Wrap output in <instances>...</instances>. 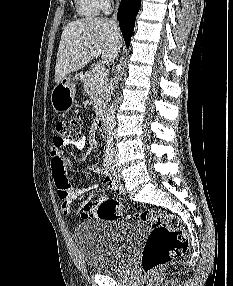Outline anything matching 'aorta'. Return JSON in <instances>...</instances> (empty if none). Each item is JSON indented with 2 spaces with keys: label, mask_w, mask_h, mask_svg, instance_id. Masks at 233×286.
<instances>
[{
  "label": "aorta",
  "mask_w": 233,
  "mask_h": 286,
  "mask_svg": "<svg viewBox=\"0 0 233 286\" xmlns=\"http://www.w3.org/2000/svg\"><path fill=\"white\" fill-rule=\"evenodd\" d=\"M117 99L115 98L110 105V107L107 110L106 116H105V126H106V131L108 135V139L111 141L113 140V135H114V125H115V111L117 108Z\"/></svg>",
  "instance_id": "aorta-1"
}]
</instances>
